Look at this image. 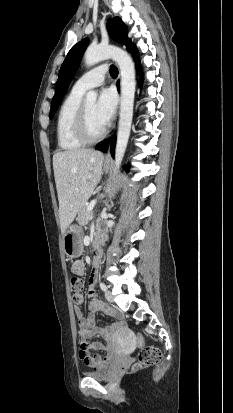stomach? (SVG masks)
Listing matches in <instances>:
<instances>
[{
	"mask_svg": "<svg viewBox=\"0 0 233 413\" xmlns=\"http://www.w3.org/2000/svg\"><path fill=\"white\" fill-rule=\"evenodd\" d=\"M104 169L107 171L109 169L108 164H104ZM82 229L78 226H69L63 235V248L65 254L73 258L75 255H81L83 251L82 247Z\"/></svg>",
	"mask_w": 233,
	"mask_h": 413,
	"instance_id": "stomach-1",
	"label": "stomach"
}]
</instances>
